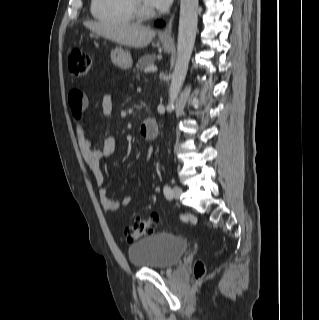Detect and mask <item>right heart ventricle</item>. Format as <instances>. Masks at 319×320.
I'll return each mask as SVG.
<instances>
[{
	"label": "right heart ventricle",
	"mask_w": 319,
	"mask_h": 320,
	"mask_svg": "<svg viewBox=\"0 0 319 320\" xmlns=\"http://www.w3.org/2000/svg\"><path fill=\"white\" fill-rule=\"evenodd\" d=\"M91 14L99 21L113 24H130L135 20L129 0H92Z\"/></svg>",
	"instance_id": "e07e8e85"
}]
</instances>
